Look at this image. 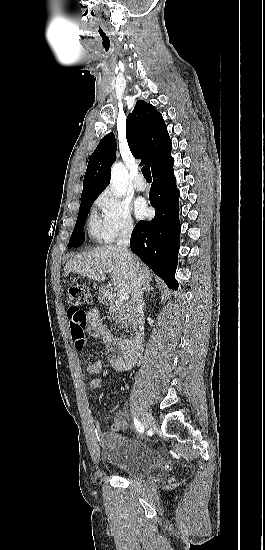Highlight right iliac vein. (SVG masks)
I'll list each match as a JSON object with an SVG mask.
<instances>
[{
	"label": "right iliac vein",
	"mask_w": 265,
	"mask_h": 550,
	"mask_svg": "<svg viewBox=\"0 0 265 550\" xmlns=\"http://www.w3.org/2000/svg\"><path fill=\"white\" fill-rule=\"evenodd\" d=\"M153 423L154 422H153V418H152L151 414L148 413V412H145L143 414V418H142V424H143L144 428L145 429L150 428L153 425Z\"/></svg>",
	"instance_id": "63e3f726"
}]
</instances>
